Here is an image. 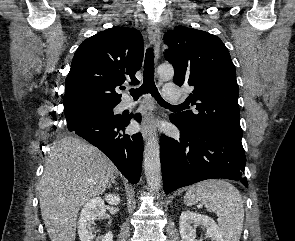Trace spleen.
Masks as SVG:
<instances>
[{
	"instance_id": "spleen-1",
	"label": "spleen",
	"mask_w": 295,
	"mask_h": 241,
	"mask_svg": "<svg viewBox=\"0 0 295 241\" xmlns=\"http://www.w3.org/2000/svg\"><path fill=\"white\" fill-rule=\"evenodd\" d=\"M184 202L191 206L197 202L218 216V224L224 241H239L243 228V199L232 184L221 179H212L191 186Z\"/></svg>"
}]
</instances>
